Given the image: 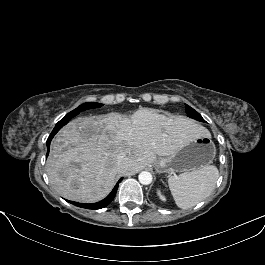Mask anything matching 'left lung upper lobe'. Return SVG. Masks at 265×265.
Segmentation results:
<instances>
[{
	"label": "left lung upper lobe",
	"instance_id": "obj_1",
	"mask_svg": "<svg viewBox=\"0 0 265 265\" xmlns=\"http://www.w3.org/2000/svg\"><path fill=\"white\" fill-rule=\"evenodd\" d=\"M186 110H187V115L190 118H193V119H196L198 121L204 122V119L202 118V116L197 111H195L193 108H191L190 106L186 105Z\"/></svg>",
	"mask_w": 265,
	"mask_h": 265
}]
</instances>
